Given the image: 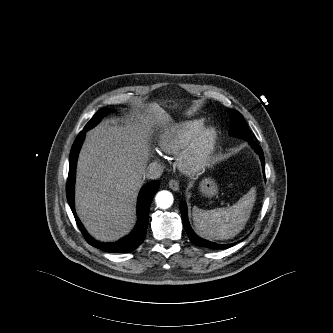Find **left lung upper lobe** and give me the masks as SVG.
<instances>
[{"mask_svg": "<svg viewBox=\"0 0 333 333\" xmlns=\"http://www.w3.org/2000/svg\"><path fill=\"white\" fill-rule=\"evenodd\" d=\"M230 119L229 134L231 136L243 138L248 142L253 140L243 116L238 111L230 110Z\"/></svg>", "mask_w": 333, "mask_h": 333, "instance_id": "5c2ea615", "label": "left lung upper lobe"}]
</instances>
